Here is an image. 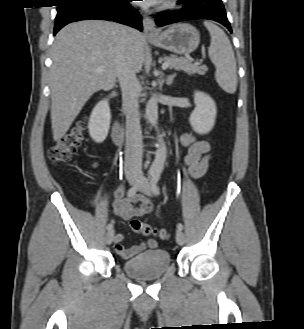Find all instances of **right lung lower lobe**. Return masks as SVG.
<instances>
[{
    "instance_id": "98d812e1",
    "label": "right lung lower lobe",
    "mask_w": 304,
    "mask_h": 329,
    "mask_svg": "<svg viewBox=\"0 0 304 329\" xmlns=\"http://www.w3.org/2000/svg\"><path fill=\"white\" fill-rule=\"evenodd\" d=\"M130 1L132 0H76L60 3L54 35L68 23L88 19L116 21L142 31L141 16L130 6Z\"/></svg>"
}]
</instances>
